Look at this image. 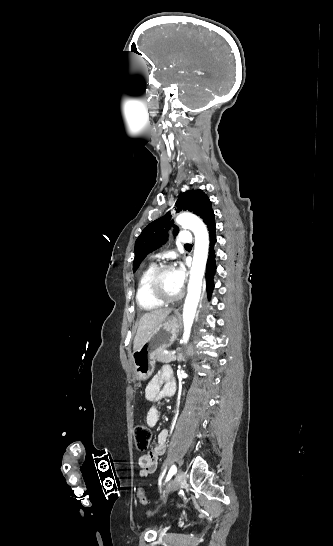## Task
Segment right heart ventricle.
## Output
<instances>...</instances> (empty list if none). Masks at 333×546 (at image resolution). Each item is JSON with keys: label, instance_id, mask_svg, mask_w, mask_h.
Here are the masks:
<instances>
[{"label": "right heart ventricle", "instance_id": "right-heart-ventricle-1", "mask_svg": "<svg viewBox=\"0 0 333 546\" xmlns=\"http://www.w3.org/2000/svg\"><path fill=\"white\" fill-rule=\"evenodd\" d=\"M156 269L154 263H150L142 272L136 291V300L140 308L151 311L163 305V303L154 299L149 292V279Z\"/></svg>", "mask_w": 333, "mask_h": 546}]
</instances>
